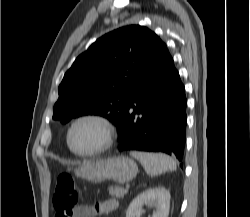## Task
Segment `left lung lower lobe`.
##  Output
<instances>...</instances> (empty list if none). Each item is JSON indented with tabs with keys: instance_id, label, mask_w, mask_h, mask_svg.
<instances>
[{
	"instance_id": "left-lung-lower-lobe-1",
	"label": "left lung lower lobe",
	"mask_w": 250,
	"mask_h": 217,
	"mask_svg": "<svg viewBox=\"0 0 250 217\" xmlns=\"http://www.w3.org/2000/svg\"><path fill=\"white\" fill-rule=\"evenodd\" d=\"M186 104L184 85L162 43L153 65L132 91L128 112L118 129L119 151L163 152L182 161Z\"/></svg>"
}]
</instances>
